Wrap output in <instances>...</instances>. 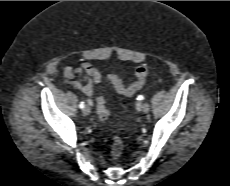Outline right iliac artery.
<instances>
[{
	"mask_svg": "<svg viewBox=\"0 0 230 186\" xmlns=\"http://www.w3.org/2000/svg\"><path fill=\"white\" fill-rule=\"evenodd\" d=\"M84 106H85V105H84L83 102H81L80 105H79L80 108H84Z\"/></svg>",
	"mask_w": 230,
	"mask_h": 186,
	"instance_id": "82829eb1",
	"label": "right iliac artery"
}]
</instances>
